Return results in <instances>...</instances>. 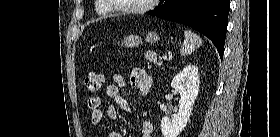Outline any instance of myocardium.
Wrapping results in <instances>:
<instances>
[{
    "instance_id": "1",
    "label": "myocardium",
    "mask_w": 280,
    "mask_h": 137,
    "mask_svg": "<svg viewBox=\"0 0 280 137\" xmlns=\"http://www.w3.org/2000/svg\"><path fill=\"white\" fill-rule=\"evenodd\" d=\"M156 2H157L156 0H145V3L143 5L121 8L118 11L124 14H131V15L140 14L150 10ZM110 7L115 8L114 5H110Z\"/></svg>"
}]
</instances>
